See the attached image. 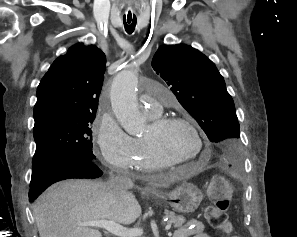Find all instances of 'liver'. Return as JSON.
Segmentation results:
<instances>
[{"mask_svg": "<svg viewBox=\"0 0 297 237\" xmlns=\"http://www.w3.org/2000/svg\"><path fill=\"white\" fill-rule=\"evenodd\" d=\"M132 193H117L110 182L66 180L48 188L34 203L40 237H102L83 225L110 220L129 225L141 215Z\"/></svg>", "mask_w": 297, "mask_h": 237, "instance_id": "6515ba94", "label": "liver"}]
</instances>
